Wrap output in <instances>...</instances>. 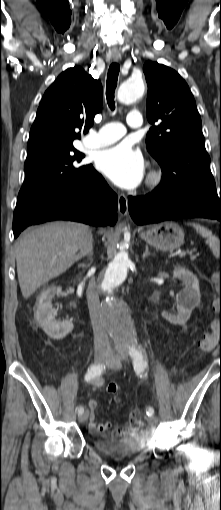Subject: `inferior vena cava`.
<instances>
[{
	"label": "inferior vena cava",
	"instance_id": "602c4592",
	"mask_svg": "<svg viewBox=\"0 0 221 510\" xmlns=\"http://www.w3.org/2000/svg\"><path fill=\"white\" fill-rule=\"evenodd\" d=\"M93 249L92 245V236L91 234L88 236L84 244L80 248V252L78 257H81L86 254H91ZM87 302L88 308L90 312L91 323L93 327L94 333V348L96 352H109L111 351V346L109 342V337L106 331V325L102 317L101 308H100V300L97 292L95 280L91 279L89 281L88 289H87Z\"/></svg>",
	"mask_w": 221,
	"mask_h": 510
}]
</instances>
